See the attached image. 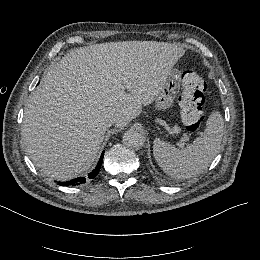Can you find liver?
<instances>
[{
  "label": "liver",
  "instance_id": "6515ba94",
  "mask_svg": "<svg viewBox=\"0 0 260 260\" xmlns=\"http://www.w3.org/2000/svg\"><path fill=\"white\" fill-rule=\"evenodd\" d=\"M182 47L157 41L93 44L71 50L30 95L21 136L36 167L60 181L95 161L109 117L125 127L156 100ZM127 90V91H126Z\"/></svg>",
  "mask_w": 260,
  "mask_h": 260
}]
</instances>
